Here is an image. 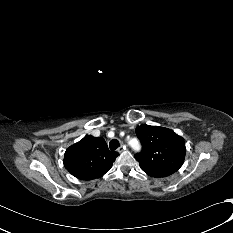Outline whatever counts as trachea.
Wrapping results in <instances>:
<instances>
[{
  "label": "trachea",
  "instance_id": "trachea-1",
  "mask_svg": "<svg viewBox=\"0 0 233 233\" xmlns=\"http://www.w3.org/2000/svg\"><path fill=\"white\" fill-rule=\"evenodd\" d=\"M118 146H119V141L117 139H113L109 143V147H110L111 151L116 150L118 148Z\"/></svg>",
  "mask_w": 233,
  "mask_h": 233
}]
</instances>
